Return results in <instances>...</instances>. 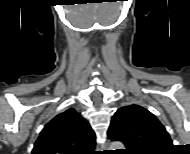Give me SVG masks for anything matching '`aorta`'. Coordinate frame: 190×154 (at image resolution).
Here are the masks:
<instances>
[{
    "mask_svg": "<svg viewBox=\"0 0 190 154\" xmlns=\"http://www.w3.org/2000/svg\"><path fill=\"white\" fill-rule=\"evenodd\" d=\"M124 149V145L121 142L115 141L110 144V150Z\"/></svg>",
    "mask_w": 190,
    "mask_h": 154,
    "instance_id": "762f6f07",
    "label": "aorta"
}]
</instances>
